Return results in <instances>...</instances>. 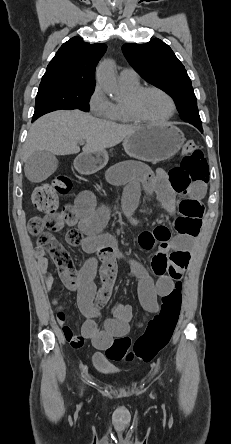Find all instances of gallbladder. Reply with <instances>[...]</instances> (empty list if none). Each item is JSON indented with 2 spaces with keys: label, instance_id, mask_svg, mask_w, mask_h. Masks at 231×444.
<instances>
[{
  "label": "gallbladder",
  "instance_id": "obj_1",
  "mask_svg": "<svg viewBox=\"0 0 231 444\" xmlns=\"http://www.w3.org/2000/svg\"><path fill=\"white\" fill-rule=\"evenodd\" d=\"M57 168L55 155L48 151H37L25 162V175L32 182H41Z\"/></svg>",
  "mask_w": 231,
  "mask_h": 444
}]
</instances>
